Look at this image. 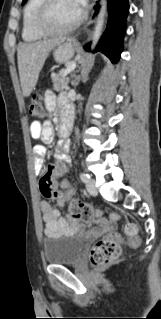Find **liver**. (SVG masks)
<instances>
[{
  "label": "liver",
  "instance_id": "6515ba94",
  "mask_svg": "<svg viewBox=\"0 0 161 319\" xmlns=\"http://www.w3.org/2000/svg\"><path fill=\"white\" fill-rule=\"evenodd\" d=\"M59 43V39H48L32 43H20L18 45V70L25 97H28L35 88L39 73L49 52Z\"/></svg>",
  "mask_w": 161,
  "mask_h": 319
}]
</instances>
